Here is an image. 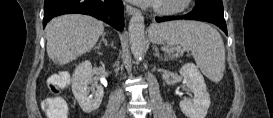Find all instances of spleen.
I'll use <instances>...</instances> for the list:
<instances>
[{"label":"spleen","instance_id":"obj_1","mask_svg":"<svg viewBox=\"0 0 273 118\" xmlns=\"http://www.w3.org/2000/svg\"><path fill=\"white\" fill-rule=\"evenodd\" d=\"M150 38L154 43L165 41V52L171 58L191 51L197 66L207 78L213 82L222 80L225 47L219 32L210 25L197 21L167 22L154 25Z\"/></svg>","mask_w":273,"mask_h":118}]
</instances>
